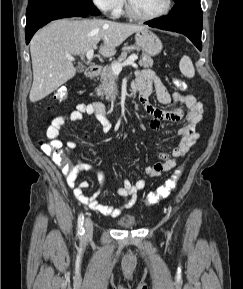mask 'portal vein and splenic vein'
<instances>
[{
    "instance_id": "portal-vein-and-splenic-vein-1",
    "label": "portal vein and splenic vein",
    "mask_w": 243,
    "mask_h": 289,
    "mask_svg": "<svg viewBox=\"0 0 243 289\" xmlns=\"http://www.w3.org/2000/svg\"><path fill=\"white\" fill-rule=\"evenodd\" d=\"M93 55H94V49H90L86 53V57L88 60H91L93 58ZM66 57L69 61L75 60L74 57H72L70 55H67ZM137 58H138L137 55H131L122 63L112 64L111 69L114 73H119V72H121V70L124 66H127V65L136 66L135 61L137 60Z\"/></svg>"
}]
</instances>
